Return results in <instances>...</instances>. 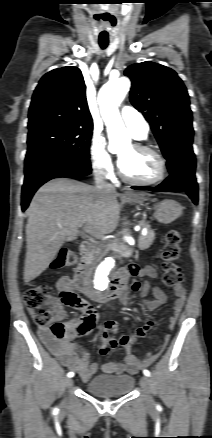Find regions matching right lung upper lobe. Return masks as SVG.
Segmentation results:
<instances>
[{"label":"right lung upper lobe","mask_w":212,"mask_h":438,"mask_svg":"<svg viewBox=\"0 0 212 438\" xmlns=\"http://www.w3.org/2000/svg\"><path fill=\"white\" fill-rule=\"evenodd\" d=\"M29 130L44 126L92 129L85 83L77 67H63L39 81L29 108Z\"/></svg>","instance_id":"cb5924a9"}]
</instances>
